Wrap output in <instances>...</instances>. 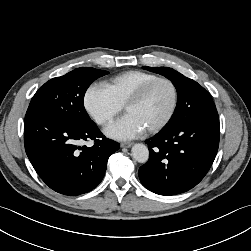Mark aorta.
I'll list each match as a JSON object with an SVG mask.
<instances>
[{
	"instance_id": "762f6f07",
	"label": "aorta",
	"mask_w": 251,
	"mask_h": 251,
	"mask_svg": "<svg viewBox=\"0 0 251 251\" xmlns=\"http://www.w3.org/2000/svg\"><path fill=\"white\" fill-rule=\"evenodd\" d=\"M131 152L133 158L139 163H146L149 159V150L144 144L133 145Z\"/></svg>"
}]
</instances>
